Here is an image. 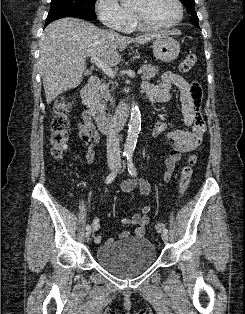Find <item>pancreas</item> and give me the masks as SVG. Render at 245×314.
<instances>
[{"instance_id":"obj_1","label":"pancreas","mask_w":245,"mask_h":314,"mask_svg":"<svg viewBox=\"0 0 245 314\" xmlns=\"http://www.w3.org/2000/svg\"><path fill=\"white\" fill-rule=\"evenodd\" d=\"M141 70H142V76H141L142 80H150L153 77H155V75H157L159 68L156 66H152L150 64H144L141 66ZM108 87L109 85H103L98 94V103L102 107H106L105 101H110L111 104L114 103V100L110 95Z\"/></svg>"}]
</instances>
